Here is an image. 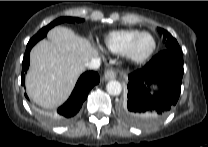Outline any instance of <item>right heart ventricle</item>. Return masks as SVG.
<instances>
[{"instance_id": "e07e8e85", "label": "right heart ventricle", "mask_w": 208, "mask_h": 147, "mask_svg": "<svg viewBox=\"0 0 208 147\" xmlns=\"http://www.w3.org/2000/svg\"><path fill=\"white\" fill-rule=\"evenodd\" d=\"M138 29H121L109 32L104 38L105 47L113 53L122 54L130 41L139 34Z\"/></svg>"}]
</instances>
